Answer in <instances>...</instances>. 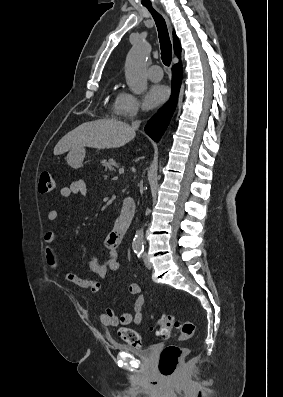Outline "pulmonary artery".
Wrapping results in <instances>:
<instances>
[{
  "label": "pulmonary artery",
  "mask_w": 283,
  "mask_h": 397,
  "mask_svg": "<svg viewBox=\"0 0 283 397\" xmlns=\"http://www.w3.org/2000/svg\"><path fill=\"white\" fill-rule=\"evenodd\" d=\"M163 73L159 65H152L148 69V77L153 82H158L162 79Z\"/></svg>",
  "instance_id": "e3ab8cb5"
}]
</instances>
